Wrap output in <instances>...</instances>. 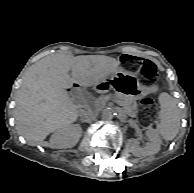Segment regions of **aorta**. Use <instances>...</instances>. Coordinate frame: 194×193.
<instances>
[{"label":"aorta","mask_w":194,"mask_h":193,"mask_svg":"<svg viewBox=\"0 0 194 193\" xmlns=\"http://www.w3.org/2000/svg\"><path fill=\"white\" fill-rule=\"evenodd\" d=\"M117 114H118V112H117L115 109H113V108H107V109H105L104 112H103V117H104L105 119L111 120V119H113L114 117H116Z\"/></svg>","instance_id":"1"}]
</instances>
